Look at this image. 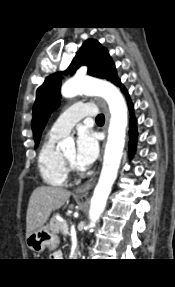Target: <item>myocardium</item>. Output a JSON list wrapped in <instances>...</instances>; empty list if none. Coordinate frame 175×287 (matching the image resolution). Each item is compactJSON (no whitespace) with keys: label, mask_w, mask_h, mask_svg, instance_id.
<instances>
[{"label":"myocardium","mask_w":175,"mask_h":287,"mask_svg":"<svg viewBox=\"0 0 175 287\" xmlns=\"http://www.w3.org/2000/svg\"><path fill=\"white\" fill-rule=\"evenodd\" d=\"M62 158H63L64 163H65L68 170H76L77 169V166H76L74 161L69 160L65 155H62Z\"/></svg>","instance_id":"1"}]
</instances>
